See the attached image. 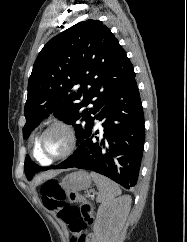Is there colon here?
I'll return each instance as SVG.
<instances>
[{"label":"colon","mask_w":187,"mask_h":242,"mask_svg":"<svg viewBox=\"0 0 187 242\" xmlns=\"http://www.w3.org/2000/svg\"><path fill=\"white\" fill-rule=\"evenodd\" d=\"M44 206L54 212L72 234L71 242H92L87 228L93 223V205L84 196L70 192L58 180L41 187Z\"/></svg>","instance_id":"colon-1"}]
</instances>
